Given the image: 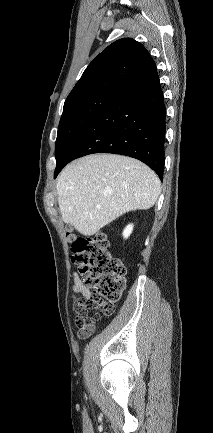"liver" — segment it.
<instances>
[{"label": "liver", "mask_w": 213, "mask_h": 433, "mask_svg": "<svg viewBox=\"0 0 213 433\" xmlns=\"http://www.w3.org/2000/svg\"><path fill=\"white\" fill-rule=\"evenodd\" d=\"M62 219L80 234H96L119 216L147 210L161 183L142 162L115 154H94L68 164L56 184Z\"/></svg>", "instance_id": "6515ba94"}]
</instances>
